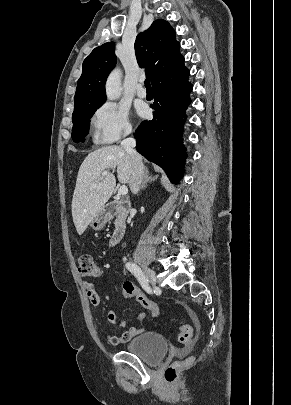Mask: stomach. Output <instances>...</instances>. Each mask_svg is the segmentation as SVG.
Segmentation results:
<instances>
[{"label": "stomach", "instance_id": "stomach-1", "mask_svg": "<svg viewBox=\"0 0 291 405\" xmlns=\"http://www.w3.org/2000/svg\"><path fill=\"white\" fill-rule=\"evenodd\" d=\"M109 220L110 214L103 208L92 219L90 226L94 230H101Z\"/></svg>", "mask_w": 291, "mask_h": 405}]
</instances>
